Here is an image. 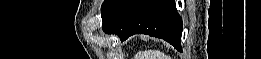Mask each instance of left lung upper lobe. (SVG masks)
Segmentation results:
<instances>
[{
    "label": "left lung upper lobe",
    "instance_id": "5c2ea615",
    "mask_svg": "<svg viewBox=\"0 0 261 59\" xmlns=\"http://www.w3.org/2000/svg\"><path fill=\"white\" fill-rule=\"evenodd\" d=\"M119 1L120 0H104L101 8L102 19H104L110 13V11L116 6Z\"/></svg>",
    "mask_w": 261,
    "mask_h": 59
}]
</instances>
